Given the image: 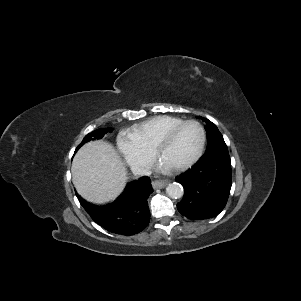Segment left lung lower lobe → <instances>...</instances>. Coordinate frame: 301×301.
Masks as SVG:
<instances>
[{
  "mask_svg": "<svg viewBox=\"0 0 301 301\" xmlns=\"http://www.w3.org/2000/svg\"><path fill=\"white\" fill-rule=\"evenodd\" d=\"M184 188L178 211L189 219L217 216L225 207L232 185L231 162L223 159L198 161L176 177Z\"/></svg>",
  "mask_w": 301,
  "mask_h": 301,
  "instance_id": "0a47b994",
  "label": "left lung lower lobe"
}]
</instances>
